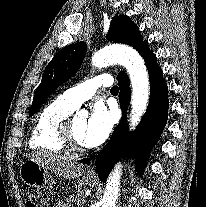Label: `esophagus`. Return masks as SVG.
<instances>
[{
    "mask_svg": "<svg viewBox=\"0 0 206 207\" xmlns=\"http://www.w3.org/2000/svg\"><path fill=\"white\" fill-rule=\"evenodd\" d=\"M88 174L95 176L96 172L93 168L88 169Z\"/></svg>",
    "mask_w": 206,
    "mask_h": 207,
    "instance_id": "34e87169",
    "label": "esophagus"
}]
</instances>
